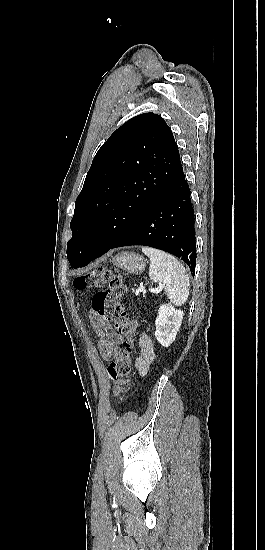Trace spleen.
Returning a JSON list of instances; mask_svg holds the SVG:
<instances>
[{
	"label": "spleen",
	"mask_w": 265,
	"mask_h": 550,
	"mask_svg": "<svg viewBox=\"0 0 265 550\" xmlns=\"http://www.w3.org/2000/svg\"><path fill=\"white\" fill-rule=\"evenodd\" d=\"M142 252L150 258L149 276L159 283L168 299L176 306L183 305L189 295V277L184 266L172 255L151 247H142Z\"/></svg>",
	"instance_id": "1"
}]
</instances>
